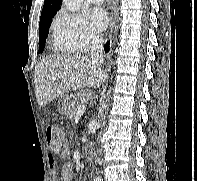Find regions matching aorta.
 Returning <instances> with one entry per match:
<instances>
[{
	"mask_svg": "<svg viewBox=\"0 0 197 181\" xmlns=\"http://www.w3.org/2000/svg\"><path fill=\"white\" fill-rule=\"evenodd\" d=\"M83 0H63V4L65 5V7L70 10V11H78L81 7V4H82ZM111 90L112 88L109 87L107 93H106V102H105V105H104V108H105V115H104V121H103V125L106 123L105 122V119H106V114H107V111L109 109V99L111 97ZM94 181H103L102 177L101 176H97Z\"/></svg>",
	"mask_w": 197,
	"mask_h": 181,
	"instance_id": "aorta-1",
	"label": "aorta"
}]
</instances>
